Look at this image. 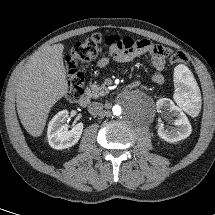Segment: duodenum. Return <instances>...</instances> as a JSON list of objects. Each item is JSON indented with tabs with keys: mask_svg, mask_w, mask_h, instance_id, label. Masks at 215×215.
Wrapping results in <instances>:
<instances>
[{
	"mask_svg": "<svg viewBox=\"0 0 215 215\" xmlns=\"http://www.w3.org/2000/svg\"><path fill=\"white\" fill-rule=\"evenodd\" d=\"M137 86H138V82H137V81H134V82H132L131 84L128 85L127 90H131V89H133V88H135V87H137ZM90 100H91V98H90L89 94L84 93V94L81 95V97L79 98L78 104H79L81 107H86V106L89 105Z\"/></svg>",
	"mask_w": 215,
	"mask_h": 215,
	"instance_id": "obj_1",
	"label": "duodenum"
}]
</instances>
